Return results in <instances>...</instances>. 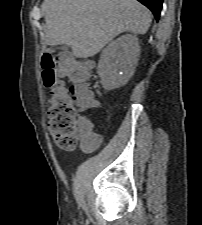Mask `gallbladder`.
<instances>
[{"mask_svg":"<svg viewBox=\"0 0 202 225\" xmlns=\"http://www.w3.org/2000/svg\"><path fill=\"white\" fill-rule=\"evenodd\" d=\"M60 49L63 50V51H66L67 50V46L64 45ZM51 51L54 52V49H51Z\"/></svg>","mask_w":202,"mask_h":225,"instance_id":"gallbladder-1","label":"gallbladder"}]
</instances>
